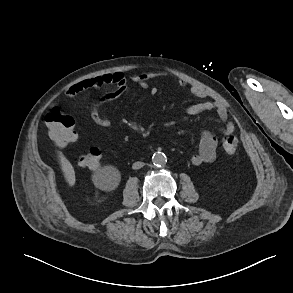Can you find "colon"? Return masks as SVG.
<instances>
[{
    "instance_id": "1",
    "label": "colon",
    "mask_w": 293,
    "mask_h": 293,
    "mask_svg": "<svg viewBox=\"0 0 293 293\" xmlns=\"http://www.w3.org/2000/svg\"><path fill=\"white\" fill-rule=\"evenodd\" d=\"M45 123L51 139L58 145H68L76 140L75 121L73 117L60 108L51 109L45 118ZM222 145L224 151L231 156L237 152L238 140L235 135L227 134L223 137ZM99 148H91L79 158L82 167L95 169L101 160Z\"/></svg>"
}]
</instances>
